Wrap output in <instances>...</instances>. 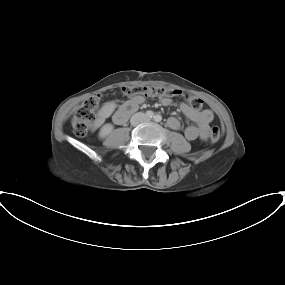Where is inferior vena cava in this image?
I'll return each mask as SVG.
<instances>
[{"instance_id": "obj_1", "label": "inferior vena cava", "mask_w": 285, "mask_h": 285, "mask_svg": "<svg viewBox=\"0 0 285 285\" xmlns=\"http://www.w3.org/2000/svg\"><path fill=\"white\" fill-rule=\"evenodd\" d=\"M146 121H148V117L142 112L134 114L130 119V122L133 126H137Z\"/></svg>"}]
</instances>
